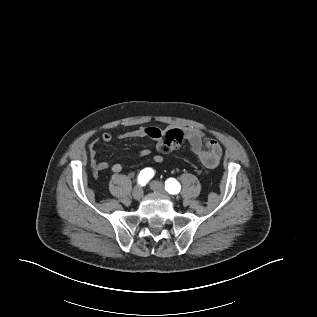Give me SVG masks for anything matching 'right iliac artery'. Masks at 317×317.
<instances>
[{"label": "right iliac artery", "mask_w": 317, "mask_h": 317, "mask_svg": "<svg viewBox=\"0 0 317 317\" xmlns=\"http://www.w3.org/2000/svg\"><path fill=\"white\" fill-rule=\"evenodd\" d=\"M154 176V170L152 168L143 169L138 175V184L141 186L146 185V183Z\"/></svg>", "instance_id": "82829eb1"}]
</instances>
